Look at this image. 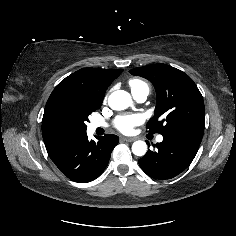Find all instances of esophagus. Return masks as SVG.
Returning <instances> with one entry per match:
<instances>
[{
  "label": "esophagus",
  "mask_w": 236,
  "mask_h": 236,
  "mask_svg": "<svg viewBox=\"0 0 236 236\" xmlns=\"http://www.w3.org/2000/svg\"><path fill=\"white\" fill-rule=\"evenodd\" d=\"M121 139H123L126 142H133V141H135V138H133V137H122Z\"/></svg>",
  "instance_id": "34e87169"
}]
</instances>
